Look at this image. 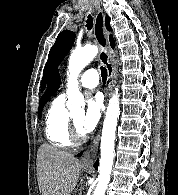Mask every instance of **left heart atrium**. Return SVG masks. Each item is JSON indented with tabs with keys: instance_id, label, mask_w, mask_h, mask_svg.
I'll return each mask as SVG.
<instances>
[{
	"instance_id": "1",
	"label": "left heart atrium",
	"mask_w": 178,
	"mask_h": 195,
	"mask_svg": "<svg viewBox=\"0 0 178 195\" xmlns=\"http://www.w3.org/2000/svg\"><path fill=\"white\" fill-rule=\"evenodd\" d=\"M102 104L98 97H92L87 102L86 111L80 121L83 134L90 133L96 127L101 116Z\"/></svg>"
}]
</instances>
